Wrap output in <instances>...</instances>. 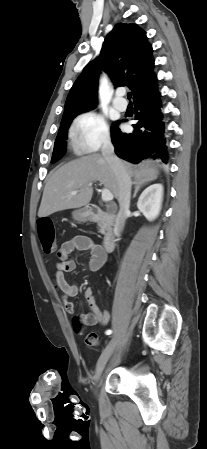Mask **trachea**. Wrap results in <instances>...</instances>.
Listing matches in <instances>:
<instances>
[{"label":"trachea","instance_id":"3493384b","mask_svg":"<svg viewBox=\"0 0 207 449\" xmlns=\"http://www.w3.org/2000/svg\"><path fill=\"white\" fill-rule=\"evenodd\" d=\"M127 97L129 100L131 99V92H128Z\"/></svg>","mask_w":207,"mask_h":449}]
</instances>
